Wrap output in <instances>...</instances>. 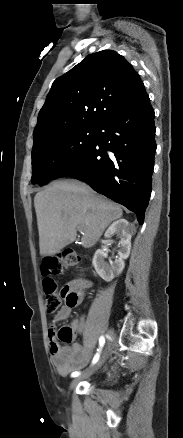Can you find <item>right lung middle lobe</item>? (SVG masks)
Masks as SVG:
<instances>
[{
  "label": "right lung middle lobe",
  "instance_id": "obj_1",
  "mask_svg": "<svg viewBox=\"0 0 183 438\" xmlns=\"http://www.w3.org/2000/svg\"><path fill=\"white\" fill-rule=\"evenodd\" d=\"M98 127L82 126L47 134L34 140L32 183L45 185L95 139Z\"/></svg>",
  "mask_w": 183,
  "mask_h": 438
}]
</instances>
